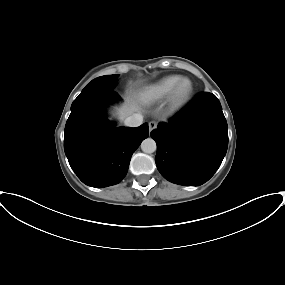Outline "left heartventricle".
Wrapping results in <instances>:
<instances>
[{"label":"left heart ventricle","mask_w":285,"mask_h":285,"mask_svg":"<svg viewBox=\"0 0 285 285\" xmlns=\"http://www.w3.org/2000/svg\"><path fill=\"white\" fill-rule=\"evenodd\" d=\"M188 88H189V84L185 83L182 87V91L185 92V91H187Z\"/></svg>","instance_id":"1"}]
</instances>
